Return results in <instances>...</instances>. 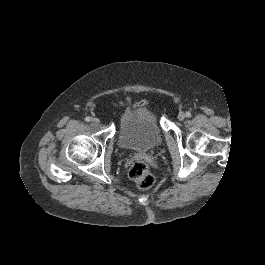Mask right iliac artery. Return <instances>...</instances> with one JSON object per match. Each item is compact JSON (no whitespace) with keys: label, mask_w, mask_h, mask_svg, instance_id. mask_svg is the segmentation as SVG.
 Returning a JSON list of instances; mask_svg holds the SVG:
<instances>
[{"label":"right iliac artery","mask_w":265,"mask_h":265,"mask_svg":"<svg viewBox=\"0 0 265 265\" xmlns=\"http://www.w3.org/2000/svg\"><path fill=\"white\" fill-rule=\"evenodd\" d=\"M91 119H92L91 117L87 116V117L85 118V121H86V122H90Z\"/></svg>","instance_id":"82829eb1"}]
</instances>
